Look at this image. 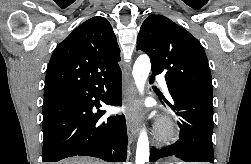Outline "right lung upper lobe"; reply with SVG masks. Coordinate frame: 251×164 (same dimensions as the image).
Instances as JSON below:
<instances>
[{"mask_svg": "<svg viewBox=\"0 0 251 164\" xmlns=\"http://www.w3.org/2000/svg\"><path fill=\"white\" fill-rule=\"evenodd\" d=\"M120 60L112 26L104 17H92L54 50L47 67L44 92L108 77L120 69Z\"/></svg>", "mask_w": 251, "mask_h": 164, "instance_id": "obj_1", "label": "right lung upper lobe"}]
</instances>
